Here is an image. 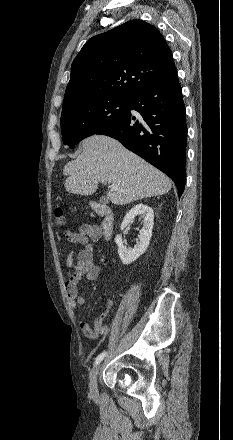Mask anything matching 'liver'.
Here are the masks:
<instances>
[{"mask_svg": "<svg viewBox=\"0 0 233 440\" xmlns=\"http://www.w3.org/2000/svg\"><path fill=\"white\" fill-rule=\"evenodd\" d=\"M82 148L79 158L63 168L67 192L92 195L99 182L114 184L117 189L107 192L108 199L125 205L163 195L172 187L169 177L111 137L90 136L82 141Z\"/></svg>", "mask_w": 233, "mask_h": 440, "instance_id": "liver-1", "label": "liver"}]
</instances>
